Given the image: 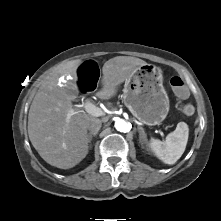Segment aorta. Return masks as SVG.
I'll return each mask as SVG.
<instances>
[{
  "mask_svg": "<svg viewBox=\"0 0 221 221\" xmlns=\"http://www.w3.org/2000/svg\"><path fill=\"white\" fill-rule=\"evenodd\" d=\"M115 128L119 132H128L130 130L129 124L123 119L116 120Z\"/></svg>",
  "mask_w": 221,
  "mask_h": 221,
  "instance_id": "1",
  "label": "aorta"
}]
</instances>
